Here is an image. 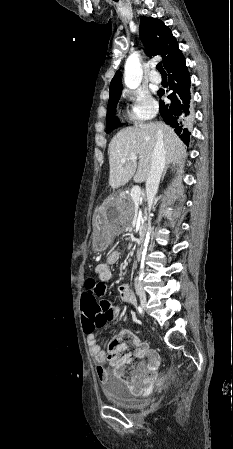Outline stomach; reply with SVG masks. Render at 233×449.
I'll list each match as a JSON object with an SVG mask.
<instances>
[{"label": "stomach", "instance_id": "0dacf381", "mask_svg": "<svg viewBox=\"0 0 233 449\" xmlns=\"http://www.w3.org/2000/svg\"><path fill=\"white\" fill-rule=\"evenodd\" d=\"M120 197H112L102 207L101 212L94 213V220L98 227V234L101 236L96 244L98 250H105L108 246V240L103 238L108 236L111 227H116L117 221L121 217Z\"/></svg>", "mask_w": 233, "mask_h": 449}]
</instances>
